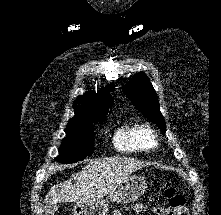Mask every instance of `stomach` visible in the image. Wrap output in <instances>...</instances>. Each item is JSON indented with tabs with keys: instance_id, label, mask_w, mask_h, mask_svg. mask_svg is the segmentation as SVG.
Here are the masks:
<instances>
[{
	"instance_id": "obj_1",
	"label": "stomach",
	"mask_w": 221,
	"mask_h": 215,
	"mask_svg": "<svg viewBox=\"0 0 221 215\" xmlns=\"http://www.w3.org/2000/svg\"><path fill=\"white\" fill-rule=\"evenodd\" d=\"M146 188L147 182L143 176H128L109 193L108 199L116 203H131L142 196ZM108 207V201L104 199L94 203L78 202L73 208V215H107Z\"/></svg>"
}]
</instances>
